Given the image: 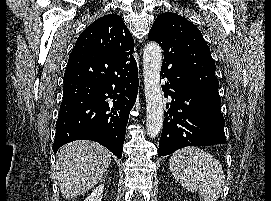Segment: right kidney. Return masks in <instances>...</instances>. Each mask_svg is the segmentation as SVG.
<instances>
[{"mask_svg": "<svg viewBox=\"0 0 271 201\" xmlns=\"http://www.w3.org/2000/svg\"><path fill=\"white\" fill-rule=\"evenodd\" d=\"M104 185L97 186L84 201H102Z\"/></svg>", "mask_w": 271, "mask_h": 201, "instance_id": "1", "label": "right kidney"}]
</instances>
